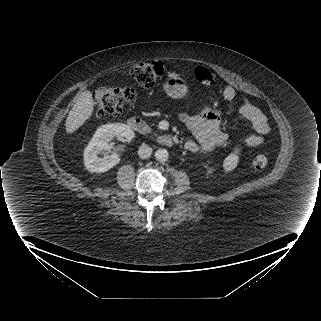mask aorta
I'll use <instances>...</instances> for the list:
<instances>
[{"label":"aorta","instance_id":"obj_1","mask_svg":"<svg viewBox=\"0 0 321 321\" xmlns=\"http://www.w3.org/2000/svg\"><path fill=\"white\" fill-rule=\"evenodd\" d=\"M169 153L164 148H159L155 152V159L159 162H164L168 159Z\"/></svg>","mask_w":321,"mask_h":321}]
</instances>
